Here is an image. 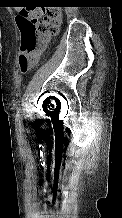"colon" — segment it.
<instances>
[{
  "label": "colon",
  "mask_w": 122,
  "mask_h": 218,
  "mask_svg": "<svg viewBox=\"0 0 122 218\" xmlns=\"http://www.w3.org/2000/svg\"><path fill=\"white\" fill-rule=\"evenodd\" d=\"M61 20V10L57 7H33L20 11L17 21L21 30L20 67L23 74L31 71L40 49L58 33Z\"/></svg>",
  "instance_id": "1"
}]
</instances>
